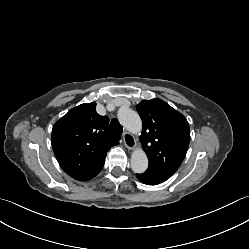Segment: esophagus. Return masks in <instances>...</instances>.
<instances>
[{"label": "esophagus", "instance_id": "obj_1", "mask_svg": "<svg viewBox=\"0 0 249 249\" xmlns=\"http://www.w3.org/2000/svg\"><path fill=\"white\" fill-rule=\"evenodd\" d=\"M123 141L124 145L130 150H133L136 147V140L134 136L128 132L123 134Z\"/></svg>", "mask_w": 249, "mask_h": 249}]
</instances>
